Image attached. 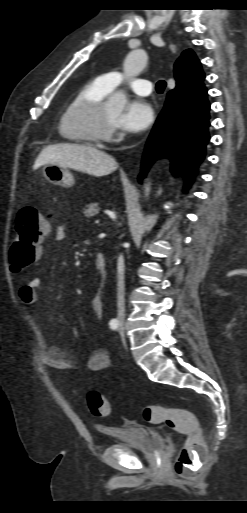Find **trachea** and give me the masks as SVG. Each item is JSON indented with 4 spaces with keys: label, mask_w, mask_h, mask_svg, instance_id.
Returning a JSON list of instances; mask_svg holds the SVG:
<instances>
[{
    "label": "trachea",
    "mask_w": 247,
    "mask_h": 513,
    "mask_svg": "<svg viewBox=\"0 0 247 513\" xmlns=\"http://www.w3.org/2000/svg\"><path fill=\"white\" fill-rule=\"evenodd\" d=\"M165 87H166V82L163 80L158 81L156 84V90L160 94L163 93Z\"/></svg>",
    "instance_id": "obj_1"
}]
</instances>
